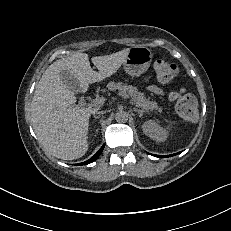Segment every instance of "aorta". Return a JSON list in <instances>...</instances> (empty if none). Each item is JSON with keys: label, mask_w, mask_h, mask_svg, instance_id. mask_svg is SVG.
I'll return each instance as SVG.
<instances>
[{"label": "aorta", "mask_w": 231, "mask_h": 231, "mask_svg": "<svg viewBox=\"0 0 231 231\" xmlns=\"http://www.w3.org/2000/svg\"><path fill=\"white\" fill-rule=\"evenodd\" d=\"M129 114L126 111L120 110L115 113V120L118 123H125L128 121Z\"/></svg>", "instance_id": "1"}]
</instances>
